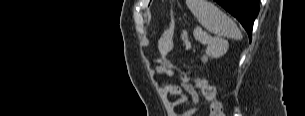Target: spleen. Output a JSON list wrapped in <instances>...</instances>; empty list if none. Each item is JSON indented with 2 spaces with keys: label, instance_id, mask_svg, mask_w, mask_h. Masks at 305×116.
<instances>
[{
  "label": "spleen",
  "instance_id": "1",
  "mask_svg": "<svg viewBox=\"0 0 305 116\" xmlns=\"http://www.w3.org/2000/svg\"><path fill=\"white\" fill-rule=\"evenodd\" d=\"M186 4L199 23L209 32L217 35L210 40V49L216 45H225L224 37L236 40L242 38V34L234 21L211 2L207 0H187Z\"/></svg>",
  "mask_w": 305,
  "mask_h": 116
}]
</instances>
